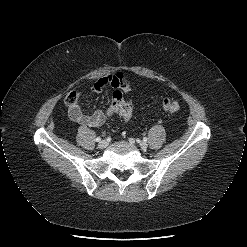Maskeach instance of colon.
I'll use <instances>...</instances> for the list:
<instances>
[{
  "instance_id": "5ec220e1",
  "label": "colon",
  "mask_w": 247,
  "mask_h": 247,
  "mask_svg": "<svg viewBox=\"0 0 247 247\" xmlns=\"http://www.w3.org/2000/svg\"><path fill=\"white\" fill-rule=\"evenodd\" d=\"M78 94L71 92L67 98L66 103L69 106H73L77 103ZM164 111L168 113H176L180 109V105L177 100L171 97H164L159 101ZM133 108L123 99V95L120 91H115L112 94L111 104L107 110V115L110 116L113 113L119 114L124 121H128L132 116Z\"/></svg>"
}]
</instances>
